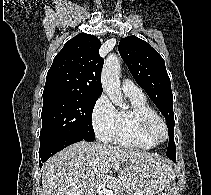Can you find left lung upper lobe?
Wrapping results in <instances>:
<instances>
[{"label":"left lung upper lobe","mask_w":211,"mask_h":195,"mask_svg":"<svg viewBox=\"0 0 211 195\" xmlns=\"http://www.w3.org/2000/svg\"><path fill=\"white\" fill-rule=\"evenodd\" d=\"M118 50L135 81L146 91L165 117L169 131L166 155L173 159L176 157L173 95L164 59L147 42L136 36L122 38Z\"/></svg>","instance_id":"5c2ea615"}]
</instances>
